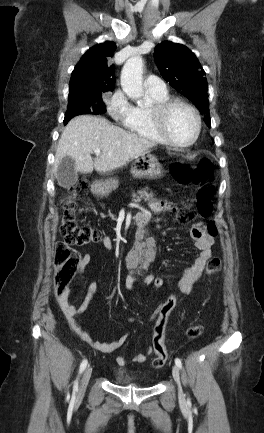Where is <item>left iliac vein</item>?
<instances>
[{
    "label": "left iliac vein",
    "mask_w": 264,
    "mask_h": 433,
    "mask_svg": "<svg viewBox=\"0 0 264 433\" xmlns=\"http://www.w3.org/2000/svg\"><path fill=\"white\" fill-rule=\"evenodd\" d=\"M172 375L174 380L176 381L177 385H178V393H179V399L181 402L185 401V395L183 393L182 387H181V382H180V372H179V368L177 365H174L172 367Z\"/></svg>",
    "instance_id": "4c4485c4"
}]
</instances>
